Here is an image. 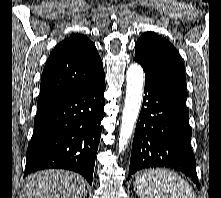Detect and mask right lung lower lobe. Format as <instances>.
I'll return each instance as SVG.
<instances>
[{
  "instance_id": "obj_1",
  "label": "right lung lower lobe",
  "mask_w": 221,
  "mask_h": 198,
  "mask_svg": "<svg viewBox=\"0 0 221 198\" xmlns=\"http://www.w3.org/2000/svg\"><path fill=\"white\" fill-rule=\"evenodd\" d=\"M105 77L40 109L26 156V176L42 169L62 168L80 173L92 184L99 145Z\"/></svg>"
}]
</instances>
